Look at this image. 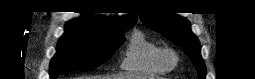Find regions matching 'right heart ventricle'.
<instances>
[{
	"label": "right heart ventricle",
	"instance_id": "1",
	"mask_svg": "<svg viewBox=\"0 0 255 79\" xmlns=\"http://www.w3.org/2000/svg\"><path fill=\"white\" fill-rule=\"evenodd\" d=\"M160 49L159 44L143 32L135 31L123 54L121 68L127 72L163 75L167 70L159 61Z\"/></svg>",
	"mask_w": 255,
	"mask_h": 79
}]
</instances>
